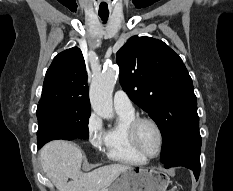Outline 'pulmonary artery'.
I'll return each instance as SVG.
<instances>
[{
    "instance_id": "pulmonary-artery-1",
    "label": "pulmonary artery",
    "mask_w": 233,
    "mask_h": 191,
    "mask_svg": "<svg viewBox=\"0 0 233 191\" xmlns=\"http://www.w3.org/2000/svg\"><path fill=\"white\" fill-rule=\"evenodd\" d=\"M116 111L134 112L132 101L123 90H118L113 98Z\"/></svg>"
}]
</instances>
